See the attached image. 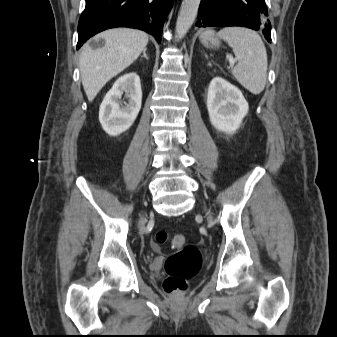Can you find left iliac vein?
<instances>
[{
	"label": "left iliac vein",
	"instance_id": "left-iliac-vein-1",
	"mask_svg": "<svg viewBox=\"0 0 337 337\" xmlns=\"http://www.w3.org/2000/svg\"><path fill=\"white\" fill-rule=\"evenodd\" d=\"M209 222H210V223H212V222H213V220H212V217H211V216H209Z\"/></svg>",
	"mask_w": 337,
	"mask_h": 337
}]
</instances>
